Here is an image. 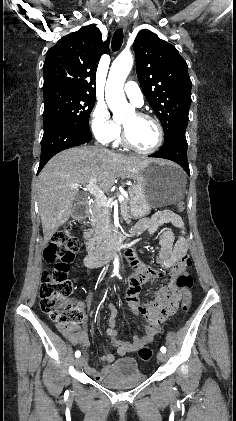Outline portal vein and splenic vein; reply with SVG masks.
<instances>
[{"label":"portal vein and splenic vein","instance_id":"18ae733b","mask_svg":"<svg viewBox=\"0 0 236 421\" xmlns=\"http://www.w3.org/2000/svg\"><path fill=\"white\" fill-rule=\"evenodd\" d=\"M97 180L98 178H91L88 184H85L84 190H89L91 194H94L98 204H101V206H110L111 200H108L103 190H101V188L97 186ZM68 186H71V188H78V186H81V184H68ZM118 200H124V196H122V194H119Z\"/></svg>","mask_w":236,"mask_h":421}]
</instances>
